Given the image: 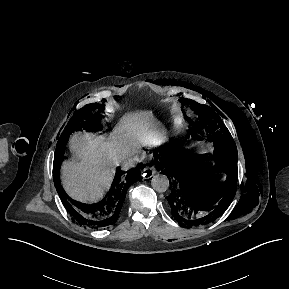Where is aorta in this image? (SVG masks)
I'll return each mask as SVG.
<instances>
[{"label":"aorta","instance_id":"1","mask_svg":"<svg viewBox=\"0 0 289 289\" xmlns=\"http://www.w3.org/2000/svg\"><path fill=\"white\" fill-rule=\"evenodd\" d=\"M151 186L155 191L162 193L169 188V180L165 175H154L151 179Z\"/></svg>","mask_w":289,"mask_h":289}]
</instances>
